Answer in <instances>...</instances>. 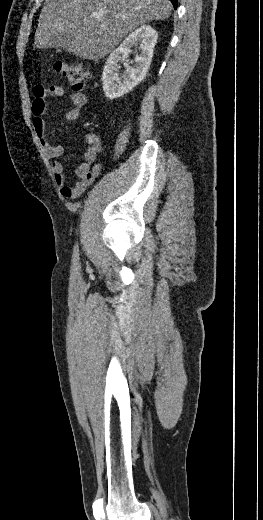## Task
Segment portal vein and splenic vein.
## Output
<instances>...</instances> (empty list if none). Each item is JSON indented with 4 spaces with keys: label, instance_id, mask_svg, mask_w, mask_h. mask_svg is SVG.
Instances as JSON below:
<instances>
[{
    "label": "portal vein and splenic vein",
    "instance_id": "portal-vein-and-splenic-vein-1",
    "mask_svg": "<svg viewBox=\"0 0 263 520\" xmlns=\"http://www.w3.org/2000/svg\"><path fill=\"white\" fill-rule=\"evenodd\" d=\"M103 16V13H95L92 15V17H95V18H101ZM122 19H125V16H121Z\"/></svg>",
    "mask_w": 263,
    "mask_h": 520
}]
</instances>
